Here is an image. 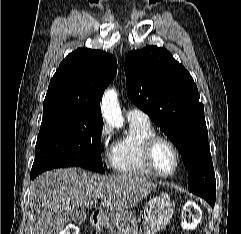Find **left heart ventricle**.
Here are the masks:
<instances>
[{
    "instance_id": "b2bd125f",
    "label": "left heart ventricle",
    "mask_w": 241,
    "mask_h": 234,
    "mask_svg": "<svg viewBox=\"0 0 241 234\" xmlns=\"http://www.w3.org/2000/svg\"><path fill=\"white\" fill-rule=\"evenodd\" d=\"M154 158L157 167L163 172H170L175 167V154L171 147L166 143H159L157 145Z\"/></svg>"
}]
</instances>
